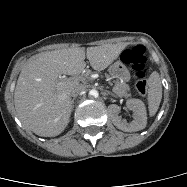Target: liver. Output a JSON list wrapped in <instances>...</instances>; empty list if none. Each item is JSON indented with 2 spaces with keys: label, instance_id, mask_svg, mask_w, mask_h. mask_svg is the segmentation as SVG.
I'll return each instance as SVG.
<instances>
[{
  "label": "liver",
  "instance_id": "6515ba94",
  "mask_svg": "<svg viewBox=\"0 0 187 187\" xmlns=\"http://www.w3.org/2000/svg\"><path fill=\"white\" fill-rule=\"evenodd\" d=\"M127 43L102 46L71 47L40 53L32 57L19 75L15 94V108L23 125L43 137L63 132L72 111L71 90L77 79L60 78L62 74L89 75L85 71V56L96 71L106 69L125 49Z\"/></svg>",
  "mask_w": 187,
  "mask_h": 187
}]
</instances>
